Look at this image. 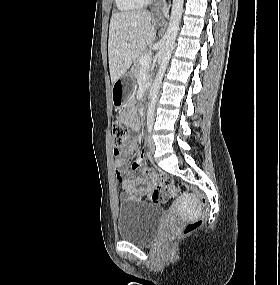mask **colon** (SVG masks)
Listing matches in <instances>:
<instances>
[{"instance_id":"colon-1","label":"colon","mask_w":280,"mask_h":285,"mask_svg":"<svg viewBox=\"0 0 280 285\" xmlns=\"http://www.w3.org/2000/svg\"><path fill=\"white\" fill-rule=\"evenodd\" d=\"M111 133H112L113 145L115 147V150L118 151L126 144V141L129 137V130L126 125L121 123L119 120H115L111 126ZM144 175L147 178V180L151 182L152 185L156 188L157 192L165 193L170 197H174L180 191H188V190L193 191L200 206L203 208V212L198 218L188 222L184 226L181 232L182 236H188L192 234L203 224L204 217L208 209V200L207 197L202 192L195 189L194 187L185 184L175 186L171 180H169L163 175L157 174L151 168L146 169L144 171ZM134 200H139V198L134 197Z\"/></svg>"}]
</instances>
